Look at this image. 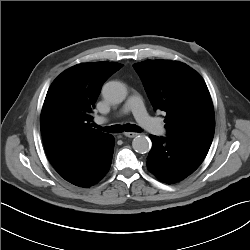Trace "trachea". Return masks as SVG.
<instances>
[{
	"mask_svg": "<svg viewBox=\"0 0 250 250\" xmlns=\"http://www.w3.org/2000/svg\"><path fill=\"white\" fill-rule=\"evenodd\" d=\"M100 130L108 133H121L123 129L126 132H141V129L135 124H126L124 127L121 125H112L109 127H98Z\"/></svg>",
	"mask_w": 250,
	"mask_h": 250,
	"instance_id": "3493384b",
	"label": "trachea"
}]
</instances>
